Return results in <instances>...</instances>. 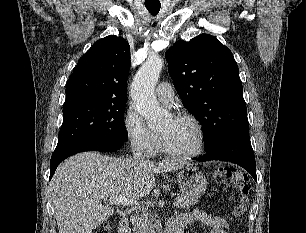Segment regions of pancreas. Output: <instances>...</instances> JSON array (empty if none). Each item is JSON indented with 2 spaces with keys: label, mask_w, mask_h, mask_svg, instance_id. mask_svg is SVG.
I'll return each instance as SVG.
<instances>
[{
  "label": "pancreas",
  "mask_w": 306,
  "mask_h": 233,
  "mask_svg": "<svg viewBox=\"0 0 306 233\" xmlns=\"http://www.w3.org/2000/svg\"><path fill=\"white\" fill-rule=\"evenodd\" d=\"M176 199L179 201V207L181 209H188L190 205L197 202L196 198L183 194H177ZM153 222L154 217L151 214L143 212L141 216L132 219L134 233H155L157 227L153 225Z\"/></svg>",
  "instance_id": "obj_1"
}]
</instances>
